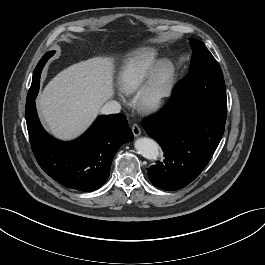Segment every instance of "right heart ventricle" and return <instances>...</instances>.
<instances>
[{
	"label": "right heart ventricle",
	"mask_w": 265,
	"mask_h": 265,
	"mask_svg": "<svg viewBox=\"0 0 265 265\" xmlns=\"http://www.w3.org/2000/svg\"><path fill=\"white\" fill-rule=\"evenodd\" d=\"M158 60V53L152 48L143 47L131 53L117 77L119 90L125 95L135 93Z\"/></svg>",
	"instance_id": "1"
}]
</instances>
